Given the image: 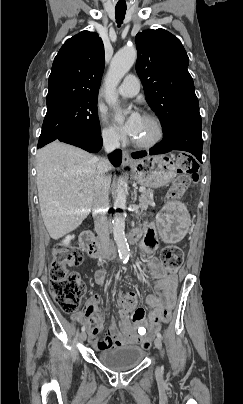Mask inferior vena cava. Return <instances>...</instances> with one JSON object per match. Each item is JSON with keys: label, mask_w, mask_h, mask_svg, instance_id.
Instances as JSON below:
<instances>
[{"label": "inferior vena cava", "mask_w": 243, "mask_h": 404, "mask_svg": "<svg viewBox=\"0 0 243 404\" xmlns=\"http://www.w3.org/2000/svg\"><path fill=\"white\" fill-rule=\"evenodd\" d=\"M103 144L108 154L120 146L118 136H112V134H104ZM111 168L112 166L108 158H101L97 164V172L94 180L95 192L92 212L95 232H97L102 254H104V256L110 254V234L106 214L109 208L108 198L111 184V176H109L108 172Z\"/></svg>", "instance_id": "inferior-vena-cava-1"}]
</instances>
